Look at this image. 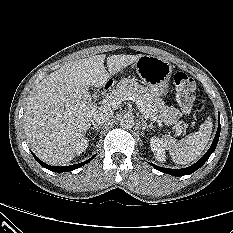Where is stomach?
<instances>
[{
  "instance_id": "0dacf381",
  "label": "stomach",
  "mask_w": 233,
  "mask_h": 233,
  "mask_svg": "<svg viewBox=\"0 0 233 233\" xmlns=\"http://www.w3.org/2000/svg\"><path fill=\"white\" fill-rule=\"evenodd\" d=\"M142 83L158 97L168 93L172 65L167 60L151 55H142L135 63Z\"/></svg>"
}]
</instances>
